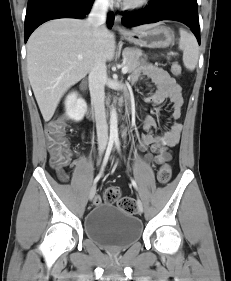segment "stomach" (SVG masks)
<instances>
[{"instance_id":"1","label":"stomach","mask_w":231,"mask_h":281,"mask_svg":"<svg viewBox=\"0 0 231 281\" xmlns=\"http://www.w3.org/2000/svg\"><path fill=\"white\" fill-rule=\"evenodd\" d=\"M122 35L130 43L148 48H166L173 41L171 30L159 24H152L139 30L125 31Z\"/></svg>"}]
</instances>
